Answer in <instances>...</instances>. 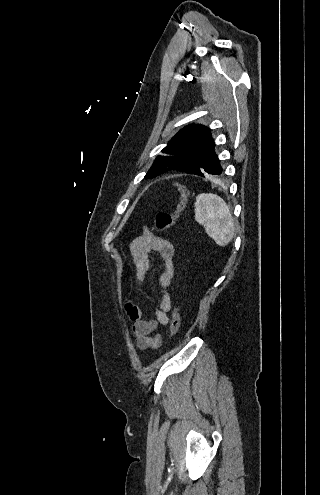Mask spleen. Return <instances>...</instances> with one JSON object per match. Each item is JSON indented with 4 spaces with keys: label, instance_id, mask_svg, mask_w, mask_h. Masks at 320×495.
Wrapping results in <instances>:
<instances>
[{
    "label": "spleen",
    "instance_id": "spleen-1",
    "mask_svg": "<svg viewBox=\"0 0 320 495\" xmlns=\"http://www.w3.org/2000/svg\"><path fill=\"white\" fill-rule=\"evenodd\" d=\"M194 219L219 246H226L234 235V222L226 202L216 194L201 193L194 203Z\"/></svg>",
    "mask_w": 320,
    "mask_h": 495
}]
</instances>
